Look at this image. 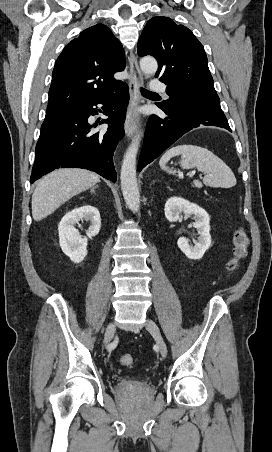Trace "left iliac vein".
<instances>
[{
  "instance_id": "4c4485c4",
  "label": "left iliac vein",
  "mask_w": 272,
  "mask_h": 452,
  "mask_svg": "<svg viewBox=\"0 0 272 452\" xmlns=\"http://www.w3.org/2000/svg\"><path fill=\"white\" fill-rule=\"evenodd\" d=\"M145 327L153 335V337H154V339L156 341V344H157V346L159 348V352H160L161 356L163 358H165L167 356V346H166V343H165V341H164V339H163V337L161 335L159 327L151 319L147 320V322L145 324Z\"/></svg>"
}]
</instances>
